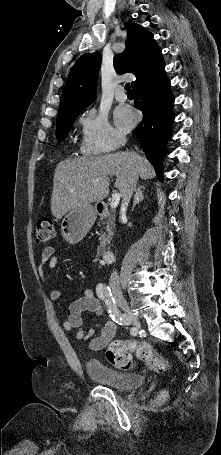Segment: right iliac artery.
Masks as SVG:
<instances>
[{"mask_svg": "<svg viewBox=\"0 0 221 455\" xmlns=\"http://www.w3.org/2000/svg\"><path fill=\"white\" fill-rule=\"evenodd\" d=\"M96 293L98 297L105 303L107 311L113 321L120 325L128 324L127 316L118 310L115 300L112 297L111 290L108 286L104 284H98L96 287ZM137 332L138 331L135 328L130 330V333L134 338L137 337Z\"/></svg>", "mask_w": 221, "mask_h": 455, "instance_id": "obj_1", "label": "right iliac artery"}]
</instances>
